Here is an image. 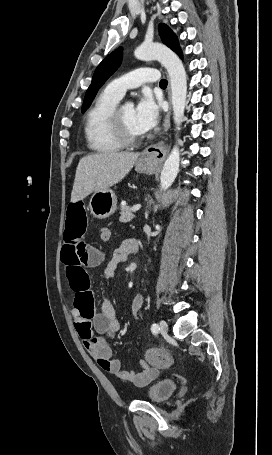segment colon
Segmentation results:
<instances>
[{
  "label": "colon",
  "instance_id": "obj_1",
  "mask_svg": "<svg viewBox=\"0 0 272 455\" xmlns=\"http://www.w3.org/2000/svg\"><path fill=\"white\" fill-rule=\"evenodd\" d=\"M100 239L103 243L109 242L111 239V231L108 227H101L100 229ZM145 359L148 363L153 365L160 366H169L172 364L173 360L171 356L160 348H151L146 351Z\"/></svg>",
  "mask_w": 272,
  "mask_h": 455
}]
</instances>
